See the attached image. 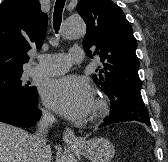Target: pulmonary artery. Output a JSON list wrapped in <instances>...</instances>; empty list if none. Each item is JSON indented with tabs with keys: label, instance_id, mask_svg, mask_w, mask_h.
<instances>
[{
	"label": "pulmonary artery",
	"instance_id": "1",
	"mask_svg": "<svg viewBox=\"0 0 168 162\" xmlns=\"http://www.w3.org/2000/svg\"><path fill=\"white\" fill-rule=\"evenodd\" d=\"M83 49L78 46L72 47L65 54H47L38 58L39 63L33 69L34 74L52 76L64 74L73 63L83 60Z\"/></svg>",
	"mask_w": 168,
	"mask_h": 162
}]
</instances>
